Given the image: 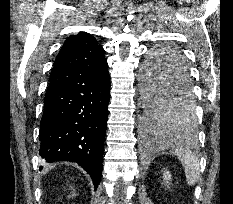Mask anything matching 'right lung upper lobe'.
Wrapping results in <instances>:
<instances>
[{
    "instance_id": "cb5924a9",
    "label": "right lung upper lobe",
    "mask_w": 233,
    "mask_h": 204,
    "mask_svg": "<svg viewBox=\"0 0 233 204\" xmlns=\"http://www.w3.org/2000/svg\"><path fill=\"white\" fill-rule=\"evenodd\" d=\"M103 53L104 49L88 33L70 36L55 59L48 89L62 84L78 70L103 66L107 63Z\"/></svg>"
}]
</instances>
